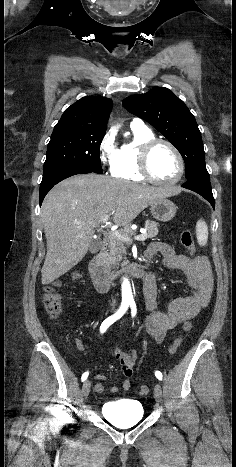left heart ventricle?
I'll list each match as a JSON object with an SVG mask.
<instances>
[{
    "mask_svg": "<svg viewBox=\"0 0 236 467\" xmlns=\"http://www.w3.org/2000/svg\"><path fill=\"white\" fill-rule=\"evenodd\" d=\"M150 170L159 180H173L179 173V162L169 147L157 145L150 156Z\"/></svg>",
    "mask_w": 236,
    "mask_h": 467,
    "instance_id": "obj_1",
    "label": "left heart ventricle"
}]
</instances>
